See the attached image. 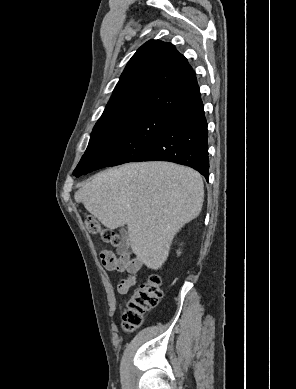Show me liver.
I'll return each instance as SVG.
<instances>
[{
	"label": "liver",
	"mask_w": 296,
	"mask_h": 389,
	"mask_svg": "<svg viewBox=\"0 0 296 389\" xmlns=\"http://www.w3.org/2000/svg\"><path fill=\"white\" fill-rule=\"evenodd\" d=\"M102 225H127L133 253L161 268L176 233L199 216L204 189L195 170L170 162L129 163L93 177L74 195Z\"/></svg>",
	"instance_id": "6515ba94"
}]
</instances>
